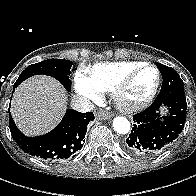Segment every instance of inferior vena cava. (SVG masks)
Returning a JSON list of instances; mask_svg holds the SVG:
<instances>
[{
	"mask_svg": "<svg viewBox=\"0 0 196 196\" xmlns=\"http://www.w3.org/2000/svg\"><path fill=\"white\" fill-rule=\"evenodd\" d=\"M71 107L78 112L86 113L94 109V104L88 99L76 95L71 100Z\"/></svg>",
	"mask_w": 196,
	"mask_h": 196,
	"instance_id": "602c4592",
	"label": "inferior vena cava"
}]
</instances>
